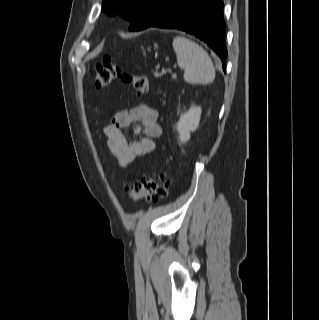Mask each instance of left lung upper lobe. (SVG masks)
<instances>
[{
  "label": "left lung upper lobe",
  "instance_id": "1",
  "mask_svg": "<svg viewBox=\"0 0 319 320\" xmlns=\"http://www.w3.org/2000/svg\"><path fill=\"white\" fill-rule=\"evenodd\" d=\"M156 2L157 0H103L101 11L108 15H120L132 24Z\"/></svg>",
  "mask_w": 319,
  "mask_h": 320
}]
</instances>
